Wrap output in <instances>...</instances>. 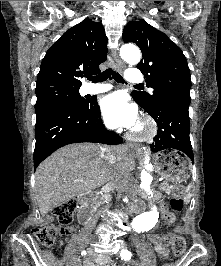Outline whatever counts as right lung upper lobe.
<instances>
[{
    "mask_svg": "<svg viewBox=\"0 0 221 266\" xmlns=\"http://www.w3.org/2000/svg\"><path fill=\"white\" fill-rule=\"evenodd\" d=\"M107 51L103 25L84 19L66 31L46 52L36 87H80L84 75L100 72L99 65L106 60Z\"/></svg>",
    "mask_w": 221,
    "mask_h": 266,
    "instance_id": "1",
    "label": "right lung upper lobe"
}]
</instances>
